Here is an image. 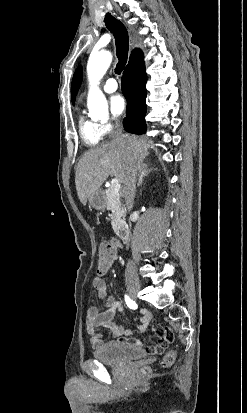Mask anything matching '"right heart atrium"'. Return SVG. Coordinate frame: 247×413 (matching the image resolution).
Wrapping results in <instances>:
<instances>
[{
    "label": "right heart atrium",
    "mask_w": 247,
    "mask_h": 413,
    "mask_svg": "<svg viewBox=\"0 0 247 413\" xmlns=\"http://www.w3.org/2000/svg\"><path fill=\"white\" fill-rule=\"evenodd\" d=\"M98 128L101 130V132L103 133V135L105 134H111L112 133V126L110 124L107 125H99Z\"/></svg>",
    "instance_id": "right-heart-atrium-1"
}]
</instances>
